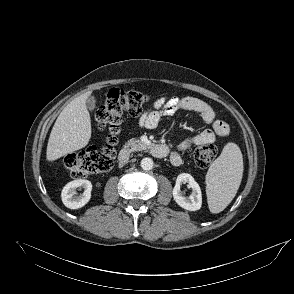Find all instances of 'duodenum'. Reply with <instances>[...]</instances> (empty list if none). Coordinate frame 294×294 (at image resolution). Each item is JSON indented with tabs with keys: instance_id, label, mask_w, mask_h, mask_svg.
<instances>
[{
	"instance_id": "duodenum-1",
	"label": "duodenum",
	"mask_w": 294,
	"mask_h": 294,
	"mask_svg": "<svg viewBox=\"0 0 294 294\" xmlns=\"http://www.w3.org/2000/svg\"><path fill=\"white\" fill-rule=\"evenodd\" d=\"M150 152L157 158H163L168 154L169 148L166 144H154L150 147ZM118 161L123 165L127 164L129 161V151L126 149L121 150L118 156Z\"/></svg>"
}]
</instances>
